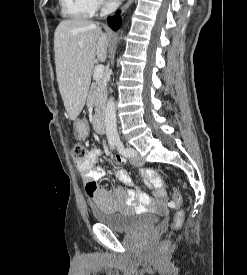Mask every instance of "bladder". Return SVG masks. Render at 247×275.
<instances>
[{
  "label": "bladder",
  "instance_id": "1",
  "mask_svg": "<svg viewBox=\"0 0 247 275\" xmlns=\"http://www.w3.org/2000/svg\"><path fill=\"white\" fill-rule=\"evenodd\" d=\"M92 214L97 224L123 233L131 232L138 227L156 225L162 219L159 215L144 214L143 218H139L135 213H109L99 208H93Z\"/></svg>",
  "mask_w": 247,
  "mask_h": 275
}]
</instances>
